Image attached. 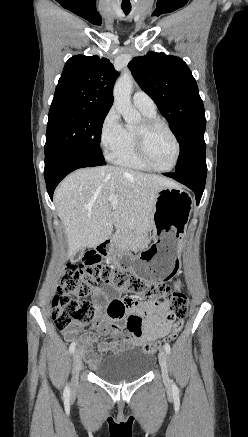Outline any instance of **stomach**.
I'll return each instance as SVG.
<instances>
[{
  "label": "stomach",
  "instance_id": "0dacf381",
  "mask_svg": "<svg viewBox=\"0 0 248 437\" xmlns=\"http://www.w3.org/2000/svg\"><path fill=\"white\" fill-rule=\"evenodd\" d=\"M191 213V198L178 186H162L152 213L153 243L134 257L117 253L115 271L135 273L144 286H167L179 270L184 234Z\"/></svg>",
  "mask_w": 248,
  "mask_h": 437
}]
</instances>
